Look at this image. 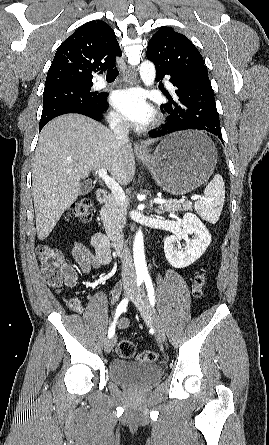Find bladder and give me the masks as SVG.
Here are the masks:
<instances>
[{"mask_svg":"<svg viewBox=\"0 0 269 445\" xmlns=\"http://www.w3.org/2000/svg\"><path fill=\"white\" fill-rule=\"evenodd\" d=\"M108 374L119 385L146 387L161 377L162 369L158 365L115 359L109 364Z\"/></svg>","mask_w":269,"mask_h":445,"instance_id":"bladder-1","label":"bladder"}]
</instances>
